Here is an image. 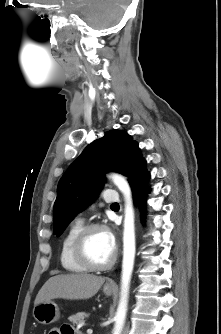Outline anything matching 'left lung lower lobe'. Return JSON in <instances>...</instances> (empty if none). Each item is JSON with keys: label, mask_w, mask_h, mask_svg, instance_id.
<instances>
[{"label": "left lung lower lobe", "mask_w": 221, "mask_h": 334, "mask_svg": "<svg viewBox=\"0 0 221 334\" xmlns=\"http://www.w3.org/2000/svg\"><path fill=\"white\" fill-rule=\"evenodd\" d=\"M149 177L150 175L144 167L137 173V175L130 182L134 201L139 202V207L141 212L143 210L145 195L146 193H148L147 180L149 179Z\"/></svg>", "instance_id": "obj_1"}]
</instances>
